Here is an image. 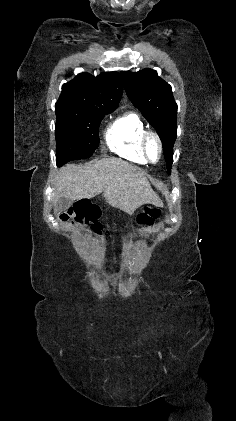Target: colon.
<instances>
[{"instance_id": "5ec220e1", "label": "colon", "mask_w": 236, "mask_h": 421, "mask_svg": "<svg viewBox=\"0 0 236 421\" xmlns=\"http://www.w3.org/2000/svg\"><path fill=\"white\" fill-rule=\"evenodd\" d=\"M88 213L89 216H86L87 219L93 221L95 219V212L91 209H89L87 206L85 205H80L77 209L74 210V214H75V219L80 218V215H82V213ZM70 216L73 215V212L71 211L69 213ZM160 216V210L158 208L155 207H151V206H146L144 207V209L142 210V212H140L137 216V222L140 225L143 226H150L153 224V222ZM64 218H68V215H64ZM93 229L98 232V230L100 229V225L98 223H96L95 221H93Z\"/></svg>"}]
</instances>
